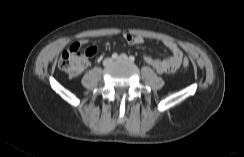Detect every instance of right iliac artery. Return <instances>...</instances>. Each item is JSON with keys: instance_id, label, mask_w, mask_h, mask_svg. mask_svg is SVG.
<instances>
[{"instance_id": "1", "label": "right iliac artery", "mask_w": 244, "mask_h": 157, "mask_svg": "<svg viewBox=\"0 0 244 157\" xmlns=\"http://www.w3.org/2000/svg\"><path fill=\"white\" fill-rule=\"evenodd\" d=\"M117 57H118V54H117V53H113V54H112V58H113V59H116Z\"/></svg>"}]
</instances>
